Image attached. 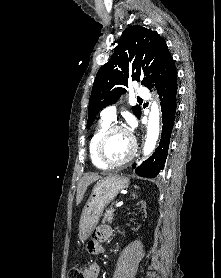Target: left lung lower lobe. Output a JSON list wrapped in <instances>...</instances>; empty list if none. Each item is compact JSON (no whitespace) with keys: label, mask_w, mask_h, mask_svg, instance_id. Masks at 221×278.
<instances>
[{"label":"left lung lower lobe","mask_w":221,"mask_h":278,"mask_svg":"<svg viewBox=\"0 0 221 278\" xmlns=\"http://www.w3.org/2000/svg\"><path fill=\"white\" fill-rule=\"evenodd\" d=\"M161 100L162 108V134L158 148L153 155L135 169V172L142 177L154 178L164 168L168 154L170 136L172 133L177 94V71L173 59L167 64L165 69L153 81ZM150 85L149 88H152ZM136 164H133V168Z\"/></svg>","instance_id":"1"}]
</instances>
